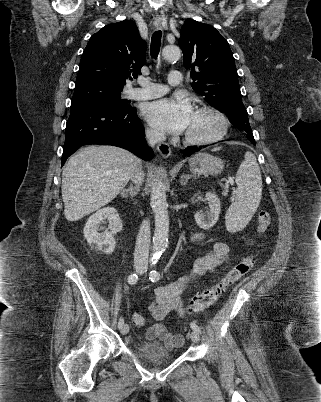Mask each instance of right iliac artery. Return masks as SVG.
Instances as JSON below:
<instances>
[{"label": "right iliac artery", "instance_id": "82829eb1", "mask_svg": "<svg viewBox=\"0 0 321 402\" xmlns=\"http://www.w3.org/2000/svg\"><path fill=\"white\" fill-rule=\"evenodd\" d=\"M137 280H138V274H136V273H133V274L129 275V277H128L129 284H132V285L136 284ZM123 324H124V320L122 318H120V320L118 322V328L121 329Z\"/></svg>", "mask_w": 321, "mask_h": 402}]
</instances>
